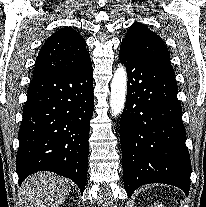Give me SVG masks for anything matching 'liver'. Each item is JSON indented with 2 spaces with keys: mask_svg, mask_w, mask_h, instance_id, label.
I'll use <instances>...</instances> for the list:
<instances>
[{
  "mask_svg": "<svg viewBox=\"0 0 206 207\" xmlns=\"http://www.w3.org/2000/svg\"><path fill=\"white\" fill-rule=\"evenodd\" d=\"M70 191L67 179L51 172H39L24 180L21 194L26 207H58Z\"/></svg>",
  "mask_w": 206,
  "mask_h": 207,
  "instance_id": "obj_1",
  "label": "liver"
}]
</instances>
